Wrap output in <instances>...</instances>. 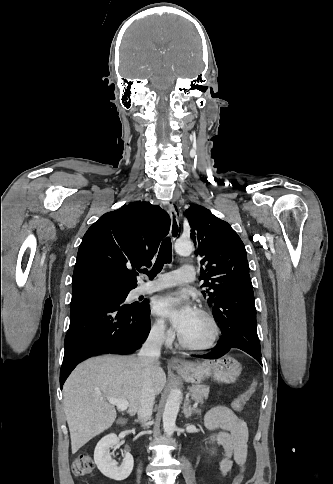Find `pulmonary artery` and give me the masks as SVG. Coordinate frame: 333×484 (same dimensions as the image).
<instances>
[{
	"instance_id": "obj_1",
	"label": "pulmonary artery",
	"mask_w": 333,
	"mask_h": 484,
	"mask_svg": "<svg viewBox=\"0 0 333 484\" xmlns=\"http://www.w3.org/2000/svg\"><path fill=\"white\" fill-rule=\"evenodd\" d=\"M195 279L194 267L190 264H184L179 269L161 273L155 280L143 282L137 288L138 294H149L169 287L189 283Z\"/></svg>"
}]
</instances>
